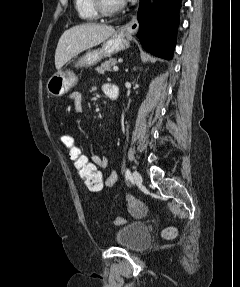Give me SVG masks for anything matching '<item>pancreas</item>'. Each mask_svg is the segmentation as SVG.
<instances>
[{"mask_svg": "<svg viewBox=\"0 0 240 287\" xmlns=\"http://www.w3.org/2000/svg\"><path fill=\"white\" fill-rule=\"evenodd\" d=\"M117 64L116 59H109L108 61L103 62L99 67L96 68V71L100 74H103L106 71H112L111 67Z\"/></svg>", "mask_w": 240, "mask_h": 287, "instance_id": "1", "label": "pancreas"}]
</instances>
